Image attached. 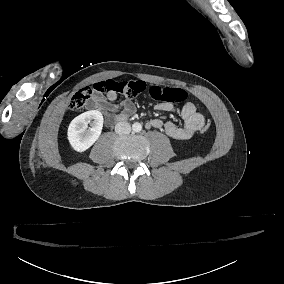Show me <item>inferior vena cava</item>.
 <instances>
[{"instance_id": "602c4592", "label": "inferior vena cava", "mask_w": 284, "mask_h": 284, "mask_svg": "<svg viewBox=\"0 0 284 284\" xmlns=\"http://www.w3.org/2000/svg\"><path fill=\"white\" fill-rule=\"evenodd\" d=\"M115 132L118 134H129L131 126L128 122H119L115 125Z\"/></svg>"}]
</instances>
